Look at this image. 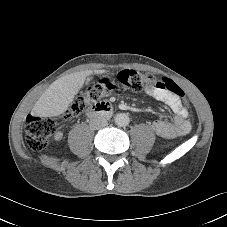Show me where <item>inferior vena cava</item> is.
<instances>
[{"mask_svg": "<svg viewBox=\"0 0 227 227\" xmlns=\"http://www.w3.org/2000/svg\"><path fill=\"white\" fill-rule=\"evenodd\" d=\"M89 124L92 129L98 130V129L105 127L108 124V122H107L106 118H104L102 116H98V117L92 118L90 120Z\"/></svg>", "mask_w": 227, "mask_h": 227, "instance_id": "obj_1", "label": "inferior vena cava"}]
</instances>
